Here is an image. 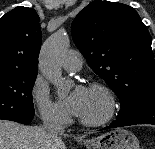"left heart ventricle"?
I'll return each instance as SVG.
<instances>
[{
    "instance_id": "b2bd125f",
    "label": "left heart ventricle",
    "mask_w": 155,
    "mask_h": 149,
    "mask_svg": "<svg viewBox=\"0 0 155 149\" xmlns=\"http://www.w3.org/2000/svg\"><path fill=\"white\" fill-rule=\"evenodd\" d=\"M106 104L104 98L97 92L88 89V95L80 117L88 120L98 119L105 113Z\"/></svg>"
}]
</instances>
